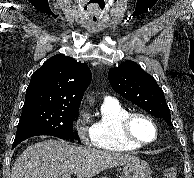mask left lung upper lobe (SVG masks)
I'll use <instances>...</instances> for the list:
<instances>
[{
    "label": "left lung upper lobe",
    "instance_id": "1",
    "mask_svg": "<svg viewBox=\"0 0 194 178\" xmlns=\"http://www.w3.org/2000/svg\"><path fill=\"white\" fill-rule=\"evenodd\" d=\"M111 87L125 99L133 102L152 116L172 125L164 92L155 79L137 63L125 61L108 73Z\"/></svg>",
    "mask_w": 194,
    "mask_h": 178
}]
</instances>
